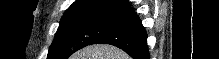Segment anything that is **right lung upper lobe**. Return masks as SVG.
Masks as SVG:
<instances>
[{"mask_svg":"<svg viewBox=\"0 0 219 59\" xmlns=\"http://www.w3.org/2000/svg\"><path fill=\"white\" fill-rule=\"evenodd\" d=\"M126 1L127 0H76L65 11L64 16H69L85 11H112Z\"/></svg>","mask_w":219,"mask_h":59,"instance_id":"cb5924a9","label":"right lung upper lobe"}]
</instances>
